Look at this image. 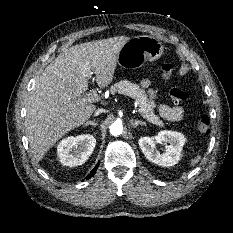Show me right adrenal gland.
<instances>
[{"mask_svg":"<svg viewBox=\"0 0 233 233\" xmlns=\"http://www.w3.org/2000/svg\"><path fill=\"white\" fill-rule=\"evenodd\" d=\"M88 125H92V126H97V122H95V121H87L83 126L85 127V126H88Z\"/></svg>","mask_w":233,"mask_h":233,"instance_id":"1","label":"right adrenal gland"}]
</instances>
